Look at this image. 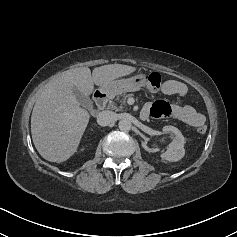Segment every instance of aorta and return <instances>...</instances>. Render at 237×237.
<instances>
[{"instance_id":"obj_1","label":"aorta","mask_w":237,"mask_h":237,"mask_svg":"<svg viewBox=\"0 0 237 237\" xmlns=\"http://www.w3.org/2000/svg\"><path fill=\"white\" fill-rule=\"evenodd\" d=\"M118 127L121 131H129L132 127L131 121L127 118L121 119L118 123Z\"/></svg>"}]
</instances>
